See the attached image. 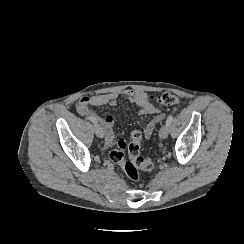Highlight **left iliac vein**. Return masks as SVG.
Listing matches in <instances>:
<instances>
[{"label": "left iliac vein", "instance_id": "1", "mask_svg": "<svg viewBox=\"0 0 244 244\" xmlns=\"http://www.w3.org/2000/svg\"><path fill=\"white\" fill-rule=\"evenodd\" d=\"M168 131H169V126L167 124H164L161 126L160 131H159V136L161 139H165L168 137Z\"/></svg>", "mask_w": 244, "mask_h": 244}]
</instances>
